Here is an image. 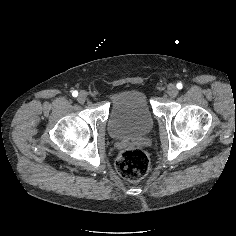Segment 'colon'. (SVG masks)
<instances>
[{
	"instance_id": "colon-1",
	"label": "colon",
	"mask_w": 236,
	"mask_h": 236,
	"mask_svg": "<svg viewBox=\"0 0 236 236\" xmlns=\"http://www.w3.org/2000/svg\"><path fill=\"white\" fill-rule=\"evenodd\" d=\"M119 175L129 181L142 179L149 171V158L139 149H126L121 152L116 161Z\"/></svg>"
}]
</instances>
